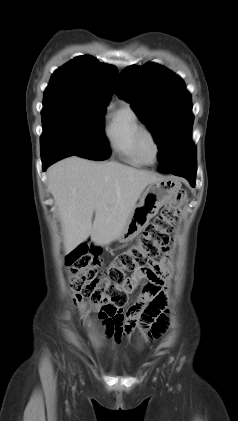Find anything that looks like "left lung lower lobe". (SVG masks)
Segmentation results:
<instances>
[{"label": "left lung lower lobe", "instance_id": "0a47b994", "mask_svg": "<svg viewBox=\"0 0 238 421\" xmlns=\"http://www.w3.org/2000/svg\"><path fill=\"white\" fill-rule=\"evenodd\" d=\"M168 173L184 177L190 182L191 186H194L196 178V160L194 159L181 167L172 169Z\"/></svg>", "mask_w": 238, "mask_h": 421}]
</instances>
